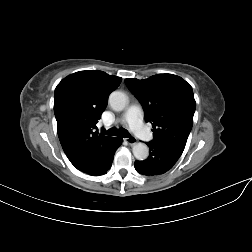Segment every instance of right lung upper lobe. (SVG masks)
I'll list each match as a JSON object with an SVG mask.
<instances>
[{
	"instance_id": "1",
	"label": "right lung upper lobe",
	"mask_w": 252,
	"mask_h": 252,
	"mask_svg": "<svg viewBox=\"0 0 252 252\" xmlns=\"http://www.w3.org/2000/svg\"><path fill=\"white\" fill-rule=\"evenodd\" d=\"M121 80L103 71H79L64 78L55 89L54 113L59 140L78 170L97 163L112 139L94 129L107 107L109 94Z\"/></svg>"
}]
</instances>
